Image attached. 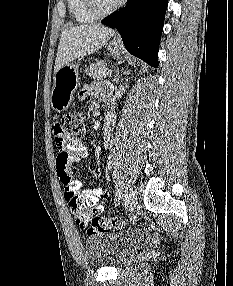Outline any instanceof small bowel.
<instances>
[{"label":"small bowel","mask_w":233,"mask_h":286,"mask_svg":"<svg viewBox=\"0 0 233 286\" xmlns=\"http://www.w3.org/2000/svg\"><path fill=\"white\" fill-rule=\"evenodd\" d=\"M92 95L100 96L104 102H110L109 86L106 84H88L80 92L81 99H87ZM110 125H107L104 135V143L108 144L110 139ZM55 135V145L57 155L55 159L56 171L64 187V197L68 192H73L79 196L84 208L100 213L103 210L100 201L106 199L108 194L101 187L82 189V182L74 176L75 169L85 163L88 159V150L82 140L71 133L61 131L58 124L53 127ZM76 218V216H75ZM77 223L86 226L77 218Z\"/></svg>","instance_id":"obj_1"}]
</instances>
